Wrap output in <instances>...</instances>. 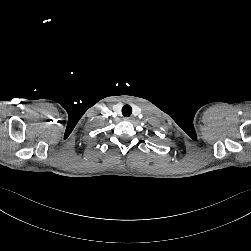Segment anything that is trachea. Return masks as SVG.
Listing matches in <instances>:
<instances>
[{
	"label": "trachea",
	"instance_id": "1",
	"mask_svg": "<svg viewBox=\"0 0 251 251\" xmlns=\"http://www.w3.org/2000/svg\"><path fill=\"white\" fill-rule=\"evenodd\" d=\"M123 116L129 117L132 114V108L130 105L126 104L122 108Z\"/></svg>",
	"mask_w": 251,
	"mask_h": 251
}]
</instances>
